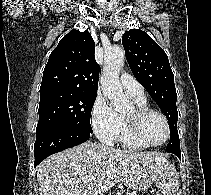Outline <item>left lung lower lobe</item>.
Here are the masks:
<instances>
[{
    "instance_id": "0a47b994",
    "label": "left lung lower lobe",
    "mask_w": 211,
    "mask_h": 195,
    "mask_svg": "<svg viewBox=\"0 0 211 195\" xmlns=\"http://www.w3.org/2000/svg\"><path fill=\"white\" fill-rule=\"evenodd\" d=\"M174 154H175L177 157L181 158V152H180V151L175 152Z\"/></svg>"
}]
</instances>
